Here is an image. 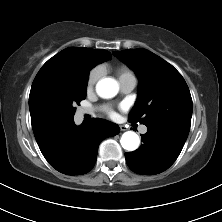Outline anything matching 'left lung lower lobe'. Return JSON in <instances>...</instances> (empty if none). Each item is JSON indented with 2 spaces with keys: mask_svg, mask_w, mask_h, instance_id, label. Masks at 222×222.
I'll return each mask as SVG.
<instances>
[{
  "mask_svg": "<svg viewBox=\"0 0 222 222\" xmlns=\"http://www.w3.org/2000/svg\"><path fill=\"white\" fill-rule=\"evenodd\" d=\"M189 131L179 123L149 126L142 135L143 144L125 153L129 168L143 175H154L168 169L179 156Z\"/></svg>",
  "mask_w": 222,
  "mask_h": 222,
  "instance_id": "obj_1",
  "label": "left lung lower lobe"
}]
</instances>
